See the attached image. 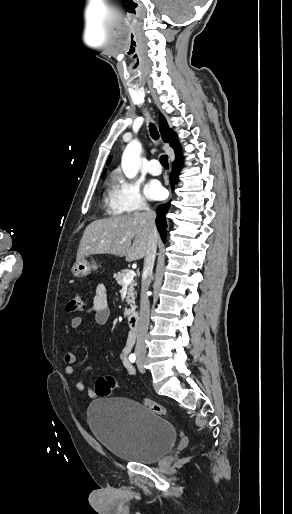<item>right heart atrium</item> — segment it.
<instances>
[{
  "label": "right heart atrium",
  "instance_id": "1",
  "mask_svg": "<svg viewBox=\"0 0 292 514\" xmlns=\"http://www.w3.org/2000/svg\"><path fill=\"white\" fill-rule=\"evenodd\" d=\"M117 206L123 209H146L147 203L141 191V181L118 174L111 188Z\"/></svg>",
  "mask_w": 292,
  "mask_h": 514
}]
</instances>
